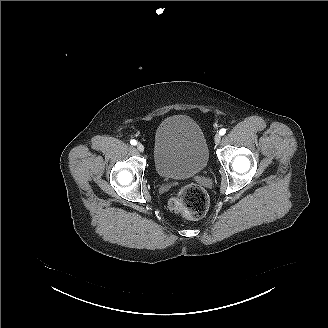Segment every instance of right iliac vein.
I'll return each instance as SVG.
<instances>
[{
  "label": "right iliac vein",
  "instance_id": "1",
  "mask_svg": "<svg viewBox=\"0 0 328 328\" xmlns=\"http://www.w3.org/2000/svg\"><path fill=\"white\" fill-rule=\"evenodd\" d=\"M137 149L140 151V152H144L145 151V147L142 145V144H138L137 145Z\"/></svg>",
  "mask_w": 328,
  "mask_h": 328
}]
</instances>
